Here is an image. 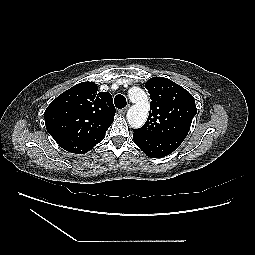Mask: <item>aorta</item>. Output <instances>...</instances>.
<instances>
[{
  "label": "aorta",
  "instance_id": "aorta-1",
  "mask_svg": "<svg viewBox=\"0 0 255 255\" xmlns=\"http://www.w3.org/2000/svg\"><path fill=\"white\" fill-rule=\"evenodd\" d=\"M128 96L134 105H132L127 112V121L132 128H140L148 118L150 108L148 97L146 93L138 87L131 88L128 92Z\"/></svg>",
  "mask_w": 255,
  "mask_h": 255
}]
</instances>
